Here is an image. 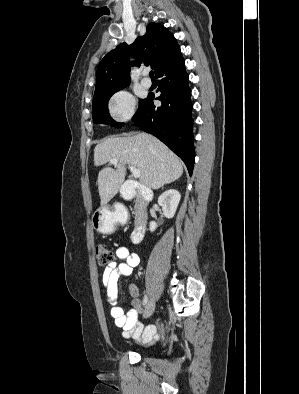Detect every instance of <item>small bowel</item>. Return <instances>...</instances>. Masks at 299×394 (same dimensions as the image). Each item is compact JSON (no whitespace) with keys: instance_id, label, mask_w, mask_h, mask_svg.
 Here are the masks:
<instances>
[{"instance_id":"c3829d8e","label":"small bowel","mask_w":299,"mask_h":394,"mask_svg":"<svg viewBox=\"0 0 299 394\" xmlns=\"http://www.w3.org/2000/svg\"><path fill=\"white\" fill-rule=\"evenodd\" d=\"M116 258L119 262L109 264L102 273V286L106 292V299L111 306V316L114 319L115 325L123 330L124 337H132L144 343H149L160 339L155 326L144 328L138 322L139 314L142 311L141 301L138 298L139 288L135 284H130L128 287L131 301L129 303V310L125 314L124 310L117 306L118 287L117 282L120 277L128 276L132 270L139 265V255L132 251L126 245H120L115 251Z\"/></svg>"}]
</instances>
